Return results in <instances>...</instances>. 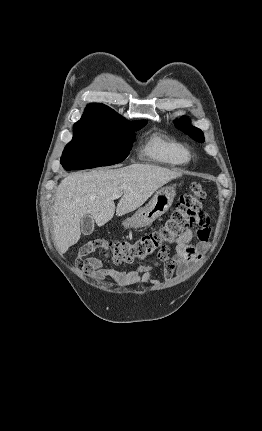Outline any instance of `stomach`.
I'll return each mask as SVG.
<instances>
[{
    "mask_svg": "<svg viewBox=\"0 0 262 431\" xmlns=\"http://www.w3.org/2000/svg\"><path fill=\"white\" fill-rule=\"evenodd\" d=\"M175 195L174 187L166 186L159 189L148 204L138 209L133 216L122 223L123 226L125 228H142L151 225L171 207Z\"/></svg>",
    "mask_w": 262,
    "mask_h": 431,
    "instance_id": "1",
    "label": "stomach"
}]
</instances>
